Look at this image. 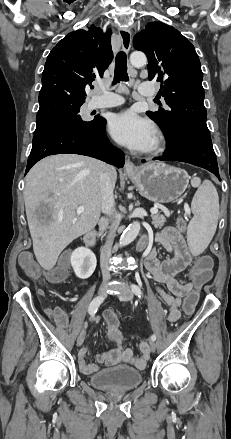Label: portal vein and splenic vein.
<instances>
[{
	"mask_svg": "<svg viewBox=\"0 0 231 439\" xmlns=\"http://www.w3.org/2000/svg\"><path fill=\"white\" fill-rule=\"evenodd\" d=\"M84 210H85V207L84 206H79L77 209H76V211H77V213L78 214H81L82 212H84ZM150 212H151V214H157L158 213V209L156 208V207H154V208H151L150 209Z\"/></svg>",
	"mask_w": 231,
	"mask_h": 439,
	"instance_id": "18ae733b",
	"label": "portal vein and splenic vein"
}]
</instances>
